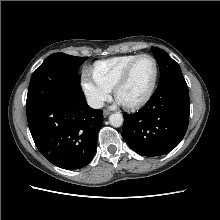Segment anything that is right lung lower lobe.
I'll return each mask as SVG.
<instances>
[{"instance_id":"obj_1","label":"right lung lower lobe","mask_w":220,"mask_h":220,"mask_svg":"<svg viewBox=\"0 0 220 220\" xmlns=\"http://www.w3.org/2000/svg\"><path fill=\"white\" fill-rule=\"evenodd\" d=\"M26 112L33 140L52 164L73 170L91 162L103 112L89 107L84 96L41 101L27 106Z\"/></svg>"}]
</instances>
